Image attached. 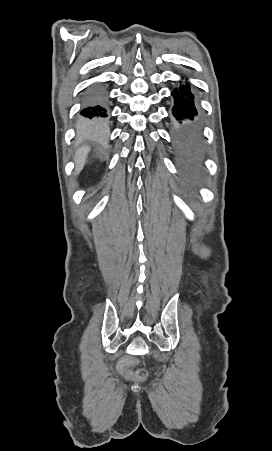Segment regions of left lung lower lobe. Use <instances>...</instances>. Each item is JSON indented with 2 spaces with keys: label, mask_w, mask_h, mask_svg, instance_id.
<instances>
[{
  "label": "left lung lower lobe",
  "mask_w": 272,
  "mask_h": 451,
  "mask_svg": "<svg viewBox=\"0 0 272 451\" xmlns=\"http://www.w3.org/2000/svg\"><path fill=\"white\" fill-rule=\"evenodd\" d=\"M180 81L171 95L174 99L172 114L175 121L172 125L175 153L178 159L186 164L198 162L196 146L198 136V109L192 85Z\"/></svg>",
  "instance_id": "0a47b994"
}]
</instances>
